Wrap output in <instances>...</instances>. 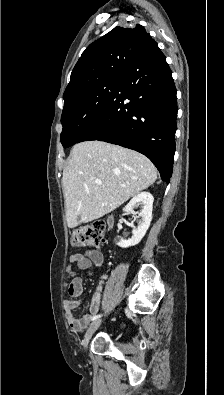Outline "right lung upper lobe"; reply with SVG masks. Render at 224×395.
<instances>
[{"label":"right lung upper lobe","instance_id":"obj_1","mask_svg":"<svg viewBox=\"0 0 224 395\" xmlns=\"http://www.w3.org/2000/svg\"><path fill=\"white\" fill-rule=\"evenodd\" d=\"M149 38L139 24L134 28L117 26L90 44L71 73L63 98L99 80L122 77Z\"/></svg>","mask_w":224,"mask_h":395}]
</instances>
